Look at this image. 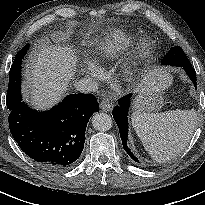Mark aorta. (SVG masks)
I'll list each match as a JSON object with an SVG mask.
<instances>
[{"mask_svg":"<svg viewBox=\"0 0 205 205\" xmlns=\"http://www.w3.org/2000/svg\"><path fill=\"white\" fill-rule=\"evenodd\" d=\"M112 124V118L106 113H97L92 118V125L98 131H108Z\"/></svg>","mask_w":205,"mask_h":205,"instance_id":"762f6f07","label":"aorta"}]
</instances>
